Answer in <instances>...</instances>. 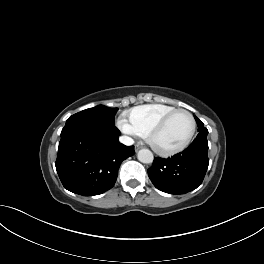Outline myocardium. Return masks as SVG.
<instances>
[{
    "mask_svg": "<svg viewBox=\"0 0 264 264\" xmlns=\"http://www.w3.org/2000/svg\"><path fill=\"white\" fill-rule=\"evenodd\" d=\"M177 114H186L190 118L191 123H192L190 135L182 144H180L176 147L166 148V149L158 147L154 142V137L160 131H162L165 128V126L167 125V123ZM196 130H197V123H196V119L193 116V114L191 112H189L188 110H185V109H175L172 112H170L169 114H167L166 116H164L156 125H154L152 127V129L149 131V133L147 135V141L156 153L163 155V156L174 155L176 153H179V152L185 150L191 144V142L193 141V139L195 137Z\"/></svg>",
    "mask_w": 264,
    "mask_h": 264,
    "instance_id": "myocardium-1",
    "label": "myocardium"
}]
</instances>
